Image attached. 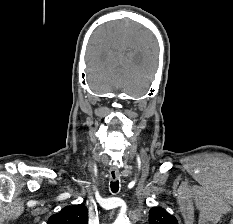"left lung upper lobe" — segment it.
Listing matches in <instances>:
<instances>
[{
    "mask_svg": "<svg viewBox=\"0 0 233 224\" xmlns=\"http://www.w3.org/2000/svg\"><path fill=\"white\" fill-rule=\"evenodd\" d=\"M149 222L150 224H178L177 219L161 207H153L150 209Z\"/></svg>",
    "mask_w": 233,
    "mask_h": 224,
    "instance_id": "1",
    "label": "left lung upper lobe"
}]
</instances>
